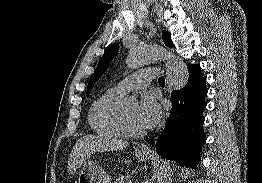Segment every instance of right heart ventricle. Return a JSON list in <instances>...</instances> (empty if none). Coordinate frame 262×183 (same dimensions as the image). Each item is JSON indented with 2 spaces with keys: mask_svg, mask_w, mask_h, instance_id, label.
I'll use <instances>...</instances> for the list:
<instances>
[{
  "mask_svg": "<svg viewBox=\"0 0 262 183\" xmlns=\"http://www.w3.org/2000/svg\"><path fill=\"white\" fill-rule=\"evenodd\" d=\"M122 96L123 94L111 88L92 104L88 120L95 133L109 138H122L126 135L121 125Z\"/></svg>",
  "mask_w": 262,
  "mask_h": 183,
  "instance_id": "right-heart-ventricle-1",
  "label": "right heart ventricle"
}]
</instances>
